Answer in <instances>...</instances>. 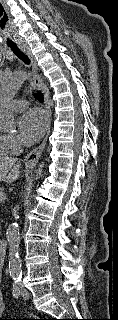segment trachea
<instances>
[{
    "mask_svg": "<svg viewBox=\"0 0 118 320\" xmlns=\"http://www.w3.org/2000/svg\"><path fill=\"white\" fill-rule=\"evenodd\" d=\"M11 48V50L14 52V54L20 58L22 61H24L25 63L29 64V59L28 57L16 46V45H10L9 46ZM36 98L39 102H43L44 101V97L43 94L38 92L36 94Z\"/></svg>",
    "mask_w": 118,
    "mask_h": 320,
    "instance_id": "obj_1",
    "label": "trachea"
}]
</instances>
